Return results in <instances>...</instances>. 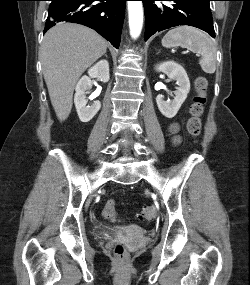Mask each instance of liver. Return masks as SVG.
<instances>
[{
    "instance_id": "liver-1",
    "label": "liver",
    "mask_w": 250,
    "mask_h": 285,
    "mask_svg": "<svg viewBox=\"0 0 250 285\" xmlns=\"http://www.w3.org/2000/svg\"><path fill=\"white\" fill-rule=\"evenodd\" d=\"M106 50L105 39L82 25L59 23L45 34L40 59L50 100L61 122L71 112L78 79Z\"/></svg>"
}]
</instances>
